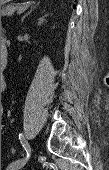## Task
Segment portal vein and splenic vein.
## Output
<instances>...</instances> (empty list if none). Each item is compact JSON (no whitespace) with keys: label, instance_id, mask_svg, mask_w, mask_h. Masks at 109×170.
I'll return each instance as SVG.
<instances>
[{"label":"portal vein and splenic vein","instance_id":"obj_1","mask_svg":"<svg viewBox=\"0 0 109 170\" xmlns=\"http://www.w3.org/2000/svg\"><path fill=\"white\" fill-rule=\"evenodd\" d=\"M26 8H22V7H20L19 9H18V12H17V14H21L22 12H24V10H25Z\"/></svg>","mask_w":109,"mask_h":170}]
</instances>
